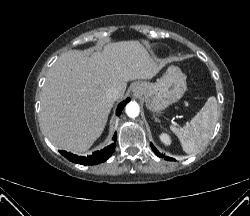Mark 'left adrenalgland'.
<instances>
[{
    "label": "left adrenal gland",
    "instance_id": "obj_1",
    "mask_svg": "<svg viewBox=\"0 0 250 216\" xmlns=\"http://www.w3.org/2000/svg\"><path fill=\"white\" fill-rule=\"evenodd\" d=\"M154 117H155L156 122H160V120L155 116V114H154Z\"/></svg>",
    "mask_w": 250,
    "mask_h": 216
}]
</instances>
